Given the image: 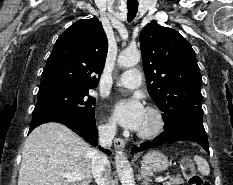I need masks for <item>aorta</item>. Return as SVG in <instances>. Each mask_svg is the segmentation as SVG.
Returning <instances> with one entry per match:
<instances>
[{"instance_id":"1","label":"aorta","mask_w":233,"mask_h":185,"mask_svg":"<svg viewBox=\"0 0 233 185\" xmlns=\"http://www.w3.org/2000/svg\"><path fill=\"white\" fill-rule=\"evenodd\" d=\"M140 52L136 49H127L118 57V64L124 68H130L138 64ZM116 171L122 185H136L131 165L123 152L118 151L115 157Z\"/></svg>"}]
</instances>
